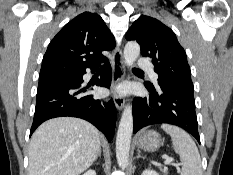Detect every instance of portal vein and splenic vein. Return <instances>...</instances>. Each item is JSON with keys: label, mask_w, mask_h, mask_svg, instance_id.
<instances>
[{"label": "portal vein and splenic vein", "mask_w": 233, "mask_h": 175, "mask_svg": "<svg viewBox=\"0 0 233 175\" xmlns=\"http://www.w3.org/2000/svg\"><path fill=\"white\" fill-rule=\"evenodd\" d=\"M173 161V158L171 157H165V164H171V162Z\"/></svg>", "instance_id": "1"}]
</instances>
